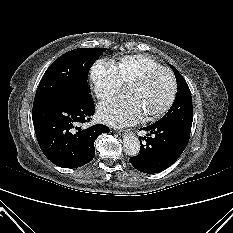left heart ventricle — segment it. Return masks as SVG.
Listing matches in <instances>:
<instances>
[{"mask_svg": "<svg viewBox=\"0 0 233 233\" xmlns=\"http://www.w3.org/2000/svg\"><path fill=\"white\" fill-rule=\"evenodd\" d=\"M170 91V77L163 71L154 73L144 83L132 84L127 88V92L138 99L144 114L152 113L162 107Z\"/></svg>", "mask_w": 233, "mask_h": 233, "instance_id": "1", "label": "left heart ventricle"}]
</instances>
